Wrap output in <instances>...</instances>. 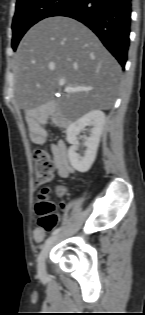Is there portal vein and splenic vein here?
Returning <instances> with one entry per match:
<instances>
[{"instance_id":"portal-vein-and-splenic-vein-1","label":"portal vein and splenic vein","mask_w":145,"mask_h":315,"mask_svg":"<svg viewBox=\"0 0 145 315\" xmlns=\"http://www.w3.org/2000/svg\"><path fill=\"white\" fill-rule=\"evenodd\" d=\"M65 85V80H60L59 81V86ZM92 90V88L89 87H76V88H71V87H66L65 92H79V91H89Z\"/></svg>"}]
</instances>
